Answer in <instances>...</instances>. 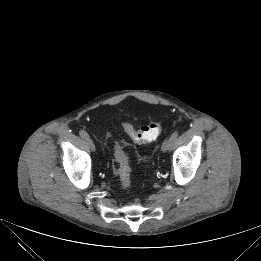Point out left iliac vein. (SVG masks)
<instances>
[{
    "label": "left iliac vein",
    "instance_id": "1",
    "mask_svg": "<svg viewBox=\"0 0 261 261\" xmlns=\"http://www.w3.org/2000/svg\"><path fill=\"white\" fill-rule=\"evenodd\" d=\"M170 148H171L170 140L167 139V140H165V141L162 143L161 151H162V152H166V151H168Z\"/></svg>",
    "mask_w": 261,
    "mask_h": 261
}]
</instances>
